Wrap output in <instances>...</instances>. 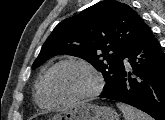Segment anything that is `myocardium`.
I'll return each mask as SVG.
<instances>
[{
	"label": "myocardium",
	"mask_w": 165,
	"mask_h": 120,
	"mask_svg": "<svg viewBox=\"0 0 165 120\" xmlns=\"http://www.w3.org/2000/svg\"><path fill=\"white\" fill-rule=\"evenodd\" d=\"M68 64L79 65V66H82L85 69H87L94 77L95 84H94V87L90 91H88L80 96H76V97L70 98V99H60L53 93V91L50 87V77L57 68H59L63 65H68ZM44 87H45L46 93L48 94L50 99L55 104L68 105V104H74V103H78V102L87 101V100L93 99L96 96H98L101 93V91L103 90L104 80H103L101 74L99 73V71L91 63H89L83 59L66 58V59H62V60L56 62L48 69V71L44 75Z\"/></svg>",
	"instance_id": "obj_1"
}]
</instances>
